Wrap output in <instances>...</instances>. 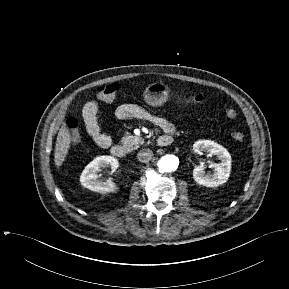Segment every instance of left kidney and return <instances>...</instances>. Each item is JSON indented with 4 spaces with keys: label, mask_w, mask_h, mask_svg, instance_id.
Instances as JSON below:
<instances>
[{
    "label": "left kidney",
    "mask_w": 289,
    "mask_h": 289,
    "mask_svg": "<svg viewBox=\"0 0 289 289\" xmlns=\"http://www.w3.org/2000/svg\"><path fill=\"white\" fill-rule=\"evenodd\" d=\"M193 150L198 154L207 152L209 156L216 155L221 160L220 163L212 164V174H205L203 166L195 167L193 179L197 184L214 188L227 182L231 171V156L226 148L211 140H199L193 145Z\"/></svg>",
    "instance_id": "obj_1"
}]
</instances>
